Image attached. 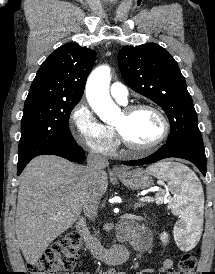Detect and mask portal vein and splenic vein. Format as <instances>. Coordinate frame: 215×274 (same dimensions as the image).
Wrapping results in <instances>:
<instances>
[{
	"label": "portal vein and splenic vein",
	"instance_id": "18ae733b",
	"mask_svg": "<svg viewBox=\"0 0 215 274\" xmlns=\"http://www.w3.org/2000/svg\"><path fill=\"white\" fill-rule=\"evenodd\" d=\"M156 191V190H154ZM141 202H152L153 198L149 197V196H145L139 199Z\"/></svg>",
	"mask_w": 215,
	"mask_h": 274
}]
</instances>
